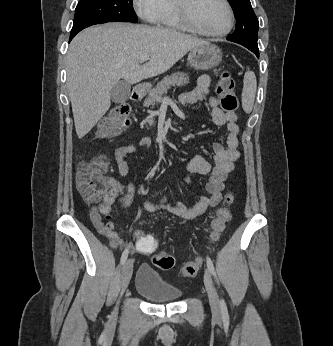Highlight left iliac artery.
I'll return each mask as SVG.
<instances>
[{
    "mask_svg": "<svg viewBox=\"0 0 333 346\" xmlns=\"http://www.w3.org/2000/svg\"><path fill=\"white\" fill-rule=\"evenodd\" d=\"M206 262H207V267H208V270L210 271V273L212 275H215V268H214L213 262L209 256L206 257ZM220 304H221V311H222L223 318L228 319L229 318L228 310H227V306H226L224 299H221Z\"/></svg>",
    "mask_w": 333,
    "mask_h": 346,
    "instance_id": "1",
    "label": "left iliac artery"
}]
</instances>
